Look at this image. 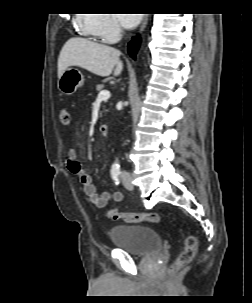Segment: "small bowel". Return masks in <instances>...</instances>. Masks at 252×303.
<instances>
[{
	"mask_svg": "<svg viewBox=\"0 0 252 303\" xmlns=\"http://www.w3.org/2000/svg\"><path fill=\"white\" fill-rule=\"evenodd\" d=\"M66 166L68 171L78 177L83 192L89 197L90 201L98 208H104L111 200L121 201V192H101L96 191L95 185L92 182L91 176L82 168L81 164L77 161V154L75 149L71 148L66 157Z\"/></svg>",
	"mask_w": 252,
	"mask_h": 303,
	"instance_id": "small-bowel-1",
	"label": "small bowel"
}]
</instances>
